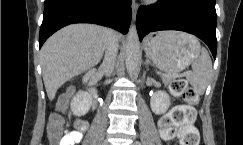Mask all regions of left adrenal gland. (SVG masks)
Returning a JSON list of instances; mask_svg holds the SVG:
<instances>
[{
    "label": "left adrenal gland",
    "mask_w": 243,
    "mask_h": 145,
    "mask_svg": "<svg viewBox=\"0 0 243 145\" xmlns=\"http://www.w3.org/2000/svg\"><path fill=\"white\" fill-rule=\"evenodd\" d=\"M144 64H145V66L152 65V63L150 62L148 57L146 58V61Z\"/></svg>",
    "instance_id": "1"
}]
</instances>
